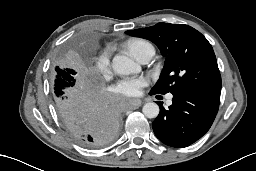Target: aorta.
Returning <instances> with one entry per match:
<instances>
[{"mask_svg": "<svg viewBox=\"0 0 256 171\" xmlns=\"http://www.w3.org/2000/svg\"><path fill=\"white\" fill-rule=\"evenodd\" d=\"M113 70L121 75H129L140 71V66L131 58L125 55H116L112 61ZM159 106L154 102H147L142 108L143 114L147 118H156L159 114Z\"/></svg>", "mask_w": 256, "mask_h": 171, "instance_id": "aorta-1", "label": "aorta"}]
</instances>
